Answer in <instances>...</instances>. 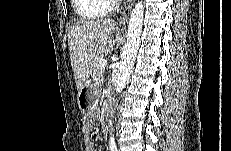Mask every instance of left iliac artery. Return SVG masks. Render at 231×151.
Instances as JSON below:
<instances>
[{"instance_id": "44dca946", "label": "left iliac artery", "mask_w": 231, "mask_h": 151, "mask_svg": "<svg viewBox=\"0 0 231 151\" xmlns=\"http://www.w3.org/2000/svg\"><path fill=\"white\" fill-rule=\"evenodd\" d=\"M110 149H111V151H117L116 145H111V146H110Z\"/></svg>"}]
</instances>
